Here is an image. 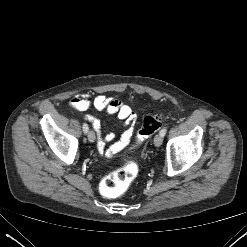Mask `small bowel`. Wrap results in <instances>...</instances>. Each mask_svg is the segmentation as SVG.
<instances>
[{
	"label": "small bowel",
	"instance_id": "small-bowel-1",
	"mask_svg": "<svg viewBox=\"0 0 247 247\" xmlns=\"http://www.w3.org/2000/svg\"><path fill=\"white\" fill-rule=\"evenodd\" d=\"M69 106L77 111H86L92 106L96 110L105 114H115L120 120L124 122L126 126L131 125L135 119V116L129 106L123 104L121 101L114 97L106 96L104 94L92 95L89 93H84L77 95L70 101ZM85 120L92 125L98 135L97 147L100 154L108 157L112 156L118 150L122 149L126 145L132 134V130L127 129L123 133L118 143L110 148H106V144L114 139L115 134L109 133L103 135L101 131V121L93 115H85Z\"/></svg>",
	"mask_w": 247,
	"mask_h": 247
}]
</instances>
